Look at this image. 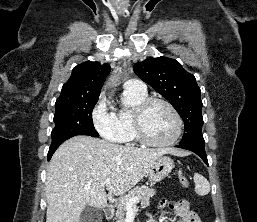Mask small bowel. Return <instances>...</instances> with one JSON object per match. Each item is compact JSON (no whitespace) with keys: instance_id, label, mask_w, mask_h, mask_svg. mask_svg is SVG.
<instances>
[{"instance_id":"c3829d8e","label":"small bowel","mask_w":257,"mask_h":222,"mask_svg":"<svg viewBox=\"0 0 257 222\" xmlns=\"http://www.w3.org/2000/svg\"><path fill=\"white\" fill-rule=\"evenodd\" d=\"M164 203L160 207H164ZM173 211L177 215L176 222H202L199 216L190 209L188 201L184 199L176 200L172 206Z\"/></svg>"}]
</instances>
